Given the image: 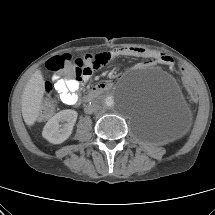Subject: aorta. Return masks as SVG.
<instances>
[{"mask_svg": "<svg viewBox=\"0 0 215 215\" xmlns=\"http://www.w3.org/2000/svg\"><path fill=\"white\" fill-rule=\"evenodd\" d=\"M118 98L111 93L99 96L96 105L101 110H111L117 107Z\"/></svg>", "mask_w": 215, "mask_h": 215, "instance_id": "aorta-1", "label": "aorta"}]
</instances>
